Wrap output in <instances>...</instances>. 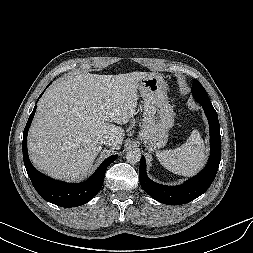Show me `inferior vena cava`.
Masks as SVG:
<instances>
[{
    "mask_svg": "<svg viewBox=\"0 0 253 253\" xmlns=\"http://www.w3.org/2000/svg\"><path fill=\"white\" fill-rule=\"evenodd\" d=\"M102 143L106 145H110L112 143V138L106 137L102 139Z\"/></svg>",
    "mask_w": 253,
    "mask_h": 253,
    "instance_id": "1",
    "label": "inferior vena cava"
}]
</instances>
